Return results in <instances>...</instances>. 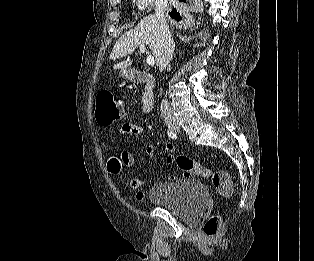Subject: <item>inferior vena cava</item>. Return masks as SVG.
I'll list each match as a JSON object with an SVG mask.
<instances>
[{
    "label": "inferior vena cava",
    "mask_w": 314,
    "mask_h": 261,
    "mask_svg": "<svg viewBox=\"0 0 314 261\" xmlns=\"http://www.w3.org/2000/svg\"><path fill=\"white\" fill-rule=\"evenodd\" d=\"M168 0H156L155 2V16L160 23V29L164 36V49L160 59L159 69L164 70L173 58L175 43L172 37L171 31L165 19V11L167 9ZM161 116L164 119H172L173 112L171 110L170 104L167 100L163 99L160 106Z\"/></svg>",
    "instance_id": "602c4592"
}]
</instances>
